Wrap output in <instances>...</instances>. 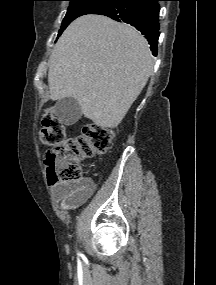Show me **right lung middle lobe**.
Masks as SVG:
<instances>
[{"mask_svg":"<svg viewBox=\"0 0 216 285\" xmlns=\"http://www.w3.org/2000/svg\"><path fill=\"white\" fill-rule=\"evenodd\" d=\"M70 1V6L68 7L66 16L64 17L59 30L58 37L66 29V27L77 17L94 14L95 12L101 10L104 7L109 6L116 0H68Z\"/></svg>","mask_w":216,"mask_h":285,"instance_id":"obj_1","label":"right lung middle lobe"}]
</instances>
